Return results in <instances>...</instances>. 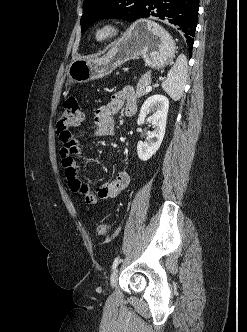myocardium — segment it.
Here are the masks:
<instances>
[{
  "label": "myocardium",
  "mask_w": 247,
  "mask_h": 332,
  "mask_svg": "<svg viewBox=\"0 0 247 332\" xmlns=\"http://www.w3.org/2000/svg\"><path fill=\"white\" fill-rule=\"evenodd\" d=\"M121 33V27L115 21H104L97 24L93 30V38L99 43L111 41Z\"/></svg>",
  "instance_id": "myocardium-1"
}]
</instances>
